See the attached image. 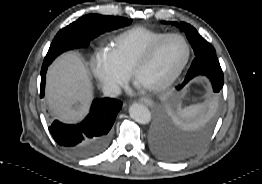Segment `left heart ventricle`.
I'll return each instance as SVG.
<instances>
[{
  "mask_svg": "<svg viewBox=\"0 0 262 184\" xmlns=\"http://www.w3.org/2000/svg\"><path fill=\"white\" fill-rule=\"evenodd\" d=\"M186 56L183 41L176 37L164 40L151 61L138 74L141 86L157 85L167 80L181 65Z\"/></svg>",
  "mask_w": 262,
  "mask_h": 184,
  "instance_id": "b2bd125f",
  "label": "left heart ventricle"
}]
</instances>
